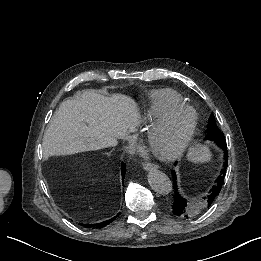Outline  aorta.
I'll use <instances>...</instances> for the list:
<instances>
[{
    "mask_svg": "<svg viewBox=\"0 0 261 261\" xmlns=\"http://www.w3.org/2000/svg\"><path fill=\"white\" fill-rule=\"evenodd\" d=\"M147 179L149 185L156 193L167 195L172 192V182L165 173L153 169L149 171Z\"/></svg>",
    "mask_w": 261,
    "mask_h": 261,
    "instance_id": "762f6f07",
    "label": "aorta"
}]
</instances>
